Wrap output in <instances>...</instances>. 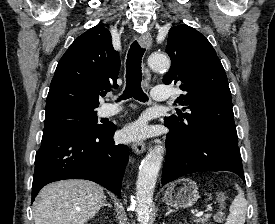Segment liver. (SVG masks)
Masks as SVG:
<instances>
[{"mask_svg": "<svg viewBox=\"0 0 275 224\" xmlns=\"http://www.w3.org/2000/svg\"><path fill=\"white\" fill-rule=\"evenodd\" d=\"M103 188L71 179L46 185L33 204L35 224H85L105 203Z\"/></svg>", "mask_w": 275, "mask_h": 224, "instance_id": "liver-1", "label": "liver"}]
</instances>
